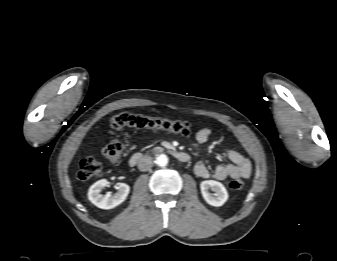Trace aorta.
Instances as JSON below:
<instances>
[{
	"label": "aorta",
	"instance_id": "1",
	"mask_svg": "<svg viewBox=\"0 0 337 261\" xmlns=\"http://www.w3.org/2000/svg\"><path fill=\"white\" fill-rule=\"evenodd\" d=\"M156 164L160 167H164L168 164V157L165 154H160L156 157Z\"/></svg>",
	"mask_w": 337,
	"mask_h": 261
}]
</instances>
